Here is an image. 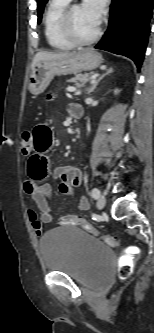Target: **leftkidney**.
I'll use <instances>...</instances> for the list:
<instances>
[{"label":"left kidney","instance_id":"obj_1","mask_svg":"<svg viewBox=\"0 0 154 333\" xmlns=\"http://www.w3.org/2000/svg\"><path fill=\"white\" fill-rule=\"evenodd\" d=\"M114 93H115V94H118V93H119V90H118V89H115Z\"/></svg>","mask_w":154,"mask_h":333}]
</instances>
